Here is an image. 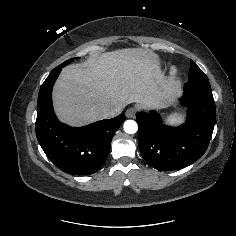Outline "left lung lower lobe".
<instances>
[{"label": "left lung lower lobe", "mask_w": 236, "mask_h": 236, "mask_svg": "<svg viewBox=\"0 0 236 236\" xmlns=\"http://www.w3.org/2000/svg\"><path fill=\"white\" fill-rule=\"evenodd\" d=\"M180 101L188 116L179 127L163 124L155 111L137 114L142 157L160 171L191 165L205 153L212 137L216 108L208 79L188 81Z\"/></svg>", "instance_id": "0a47b994"}]
</instances>
